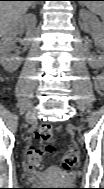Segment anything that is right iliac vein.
<instances>
[{
    "label": "right iliac vein",
    "mask_w": 104,
    "mask_h": 189,
    "mask_svg": "<svg viewBox=\"0 0 104 189\" xmlns=\"http://www.w3.org/2000/svg\"><path fill=\"white\" fill-rule=\"evenodd\" d=\"M34 120H35V112H34V110L29 111L28 114H27V117H26L27 123L32 124L34 122Z\"/></svg>",
    "instance_id": "right-iliac-vein-1"
}]
</instances>
